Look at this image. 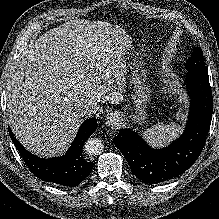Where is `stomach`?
Wrapping results in <instances>:
<instances>
[{"instance_id":"obj_1","label":"stomach","mask_w":219,"mask_h":219,"mask_svg":"<svg viewBox=\"0 0 219 219\" xmlns=\"http://www.w3.org/2000/svg\"><path fill=\"white\" fill-rule=\"evenodd\" d=\"M126 61L131 64L132 69V87L134 104L130 108L129 113L120 114L123 122H132L138 126L146 123L147 118V102L150 99L151 90L147 85V71L143 68L140 58L133 52L124 51Z\"/></svg>"}]
</instances>
